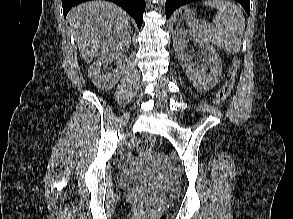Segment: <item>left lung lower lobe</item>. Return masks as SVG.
Returning <instances> with one entry per match:
<instances>
[{
    "instance_id": "obj_1",
    "label": "left lung lower lobe",
    "mask_w": 293,
    "mask_h": 219,
    "mask_svg": "<svg viewBox=\"0 0 293 219\" xmlns=\"http://www.w3.org/2000/svg\"><path fill=\"white\" fill-rule=\"evenodd\" d=\"M196 0H166V4H165V12H166V18H169L171 16V14L180 6L190 3V2H194ZM237 2H239L243 8L245 9V11L247 12V14L249 15L250 13V0H236Z\"/></svg>"
}]
</instances>
